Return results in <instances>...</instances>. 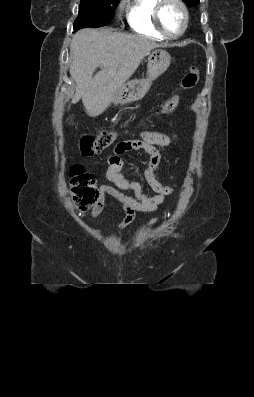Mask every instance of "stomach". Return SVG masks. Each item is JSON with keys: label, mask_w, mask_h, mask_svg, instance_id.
<instances>
[{"label": "stomach", "mask_w": 254, "mask_h": 397, "mask_svg": "<svg viewBox=\"0 0 254 397\" xmlns=\"http://www.w3.org/2000/svg\"><path fill=\"white\" fill-rule=\"evenodd\" d=\"M170 54L162 49H155L149 53L147 63V77L135 78L117 89L114 94L115 104H125L142 99L150 89L152 81L162 75L170 65Z\"/></svg>", "instance_id": "obj_1"}]
</instances>
